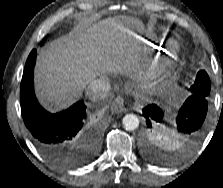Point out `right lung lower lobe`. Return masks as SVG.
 <instances>
[{"instance_id":"right-lung-lower-lobe-1","label":"right lung lower lobe","mask_w":223,"mask_h":188,"mask_svg":"<svg viewBox=\"0 0 223 188\" xmlns=\"http://www.w3.org/2000/svg\"><path fill=\"white\" fill-rule=\"evenodd\" d=\"M35 54L34 49L28 56L20 85L24 123L34 144L48 160L63 168L81 166L97 152L99 132L93 122L86 125L83 101L56 114L47 112L38 103L33 85Z\"/></svg>"}]
</instances>
